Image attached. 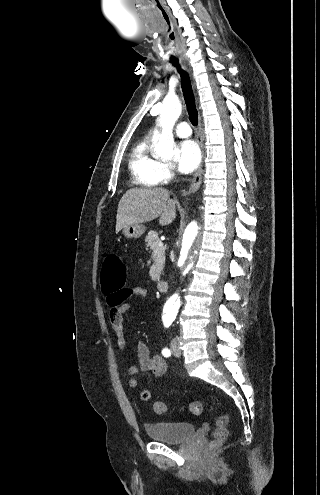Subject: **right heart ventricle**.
<instances>
[{
    "label": "right heart ventricle",
    "mask_w": 320,
    "mask_h": 495,
    "mask_svg": "<svg viewBox=\"0 0 320 495\" xmlns=\"http://www.w3.org/2000/svg\"><path fill=\"white\" fill-rule=\"evenodd\" d=\"M161 163L151 151V136L141 139L132 149L129 169L133 181L141 186L152 187L157 182V171Z\"/></svg>",
    "instance_id": "obj_1"
}]
</instances>
